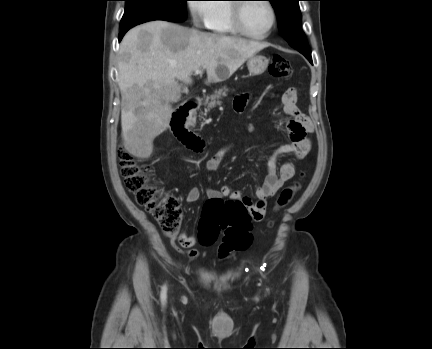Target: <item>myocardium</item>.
I'll use <instances>...</instances> for the list:
<instances>
[{"label":"myocardium","mask_w":432,"mask_h":349,"mask_svg":"<svg viewBox=\"0 0 432 349\" xmlns=\"http://www.w3.org/2000/svg\"><path fill=\"white\" fill-rule=\"evenodd\" d=\"M237 1H243V2H237L231 5V22L234 30L240 35H243L251 39H255V40L266 39L273 32L277 24V12L273 3L270 0H261L270 9L272 21L269 29L265 33L253 34L245 28L243 24V17H242L243 9L249 2H247V0H237Z\"/></svg>","instance_id":"1"}]
</instances>
